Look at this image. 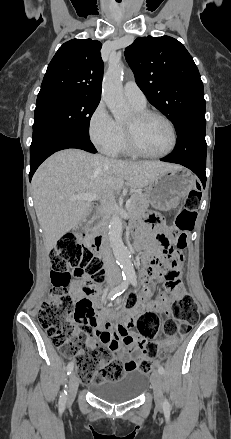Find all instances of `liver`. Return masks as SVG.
Returning a JSON list of instances; mask_svg holds the SVG:
<instances>
[{"instance_id": "1", "label": "liver", "mask_w": 231, "mask_h": 439, "mask_svg": "<svg viewBox=\"0 0 231 439\" xmlns=\"http://www.w3.org/2000/svg\"><path fill=\"white\" fill-rule=\"evenodd\" d=\"M180 166L163 162L122 161L65 149L49 157L35 172L32 193L47 253L74 228L90 208V201L71 200L79 193L97 194L103 206L125 183L144 188L159 175Z\"/></svg>"}]
</instances>
